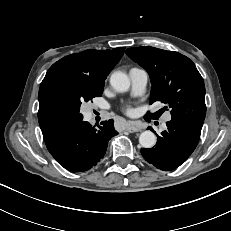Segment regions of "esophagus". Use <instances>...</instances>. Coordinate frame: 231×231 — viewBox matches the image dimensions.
Masks as SVG:
<instances>
[{
  "mask_svg": "<svg viewBox=\"0 0 231 231\" xmlns=\"http://www.w3.org/2000/svg\"><path fill=\"white\" fill-rule=\"evenodd\" d=\"M125 130L130 132V133H134V132L140 131L141 129L136 125L128 124Z\"/></svg>",
  "mask_w": 231,
  "mask_h": 231,
  "instance_id": "1",
  "label": "esophagus"
}]
</instances>
